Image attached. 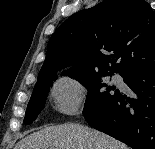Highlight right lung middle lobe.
I'll return each instance as SVG.
<instances>
[{
    "label": "right lung middle lobe",
    "mask_w": 155,
    "mask_h": 149,
    "mask_svg": "<svg viewBox=\"0 0 155 149\" xmlns=\"http://www.w3.org/2000/svg\"><path fill=\"white\" fill-rule=\"evenodd\" d=\"M67 75L77 79L85 87L89 89L83 115L89 117L93 113H98L101 108L106 106L113 98L119 94V90H115V87H107L106 91H103L102 86L106 84H101L100 78L104 74L98 71H67ZM107 75H111L108 74ZM57 76H51L49 78L40 80L36 83L34 91L32 93L31 99L28 103L27 110L25 113L24 124H31L44 108L45 100L49 87L52 85V81L56 80ZM115 90V92H111Z\"/></svg>",
    "instance_id": "dd1d6c3e"
}]
</instances>
